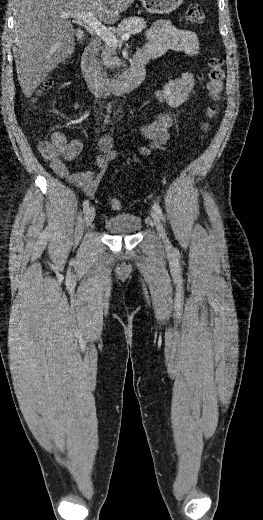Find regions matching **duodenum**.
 Returning a JSON list of instances; mask_svg holds the SVG:
<instances>
[{"label": "duodenum", "mask_w": 263, "mask_h": 520, "mask_svg": "<svg viewBox=\"0 0 263 520\" xmlns=\"http://www.w3.org/2000/svg\"><path fill=\"white\" fill-rule=\"evenodd\" d=\"M97 43L91 41L85 48L81 58V69L85 81L90 90L96 95L121 96L136 89L144 80L146 75L145 66L151 58L144 51L135 53L129 72L120 80H107L99 72L95 56Z\"/></svg>", "instance_id": "1"}]
</instances>
